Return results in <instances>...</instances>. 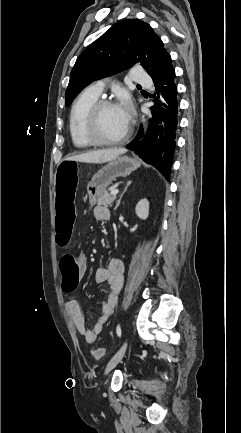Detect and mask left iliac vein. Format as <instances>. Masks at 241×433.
Listing matches in <instances>:
<instances>
[{
	"mask_svg": "<svg viewBox=\"0 0 241 433\" xmlns=\"http://www.w3.org/2000/svg\"><path fill=\"white\" fill-rule=\"evenodd\" d=\"M127 346H128V340L126 339L124 341V343L122 344L121 348L119 349V351L108 362L106 369H105V374L110 372L122 360V358L125 355V352L127 350Z\"/></svg>",
	"mask_w": 241,
	"mask_h": 433,
	"instance_id": "4c4485c4",
	"label": "left iliac vein"
}]
</instances>
